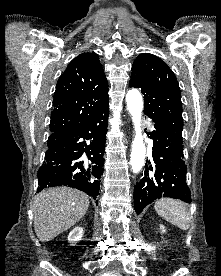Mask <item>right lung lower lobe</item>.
Instances as JSON below:
<instances>
[{
  "label": "right lung lower lobe",
  "instance_id": "right-lung-lower-lobe-1",
  "mask_svg": "<svg viewBox=\"0 0 221 276\" xmlns=\"http://www.w3.org/2000/svg\"><path fill=\"white\" fill-rule=\"evenodd\" d=\"M108 115L109 107L48 148L38 170L37 192L47 186L67 185L97 198L104 171Z\"/></svg>",
  "mask_w": 221,
  "mask_h": 276
}]
</instances>
